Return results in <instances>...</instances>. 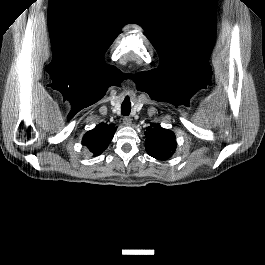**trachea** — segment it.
Masks as SVG:
<instances>
[{
  "instance_id": "trachea-1",
  "label": "trachea",
  "mask_w": 265,
  "mask_h": 265,
  "mask_svg": "<svg viewBox=\"0 0 265 265\" xmlns=\"http://www.w3.org/2000/svg\"><path fill=\"white\" fill-rule=\"evenodd\" d=\"M131 111V103L128 99H125L121 105V114L128 116Z\"/></svg>"
}]
</instances>
